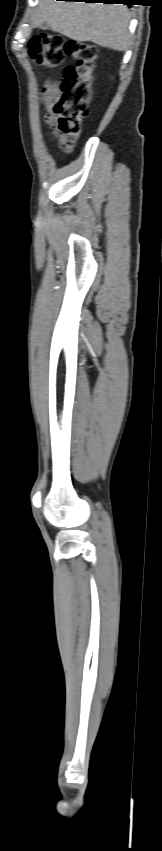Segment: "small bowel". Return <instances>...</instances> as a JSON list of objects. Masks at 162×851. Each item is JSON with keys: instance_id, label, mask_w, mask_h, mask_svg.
<instances>
[{"instance_id": "1", "label": "small bowel", "mask_w": 162, "mask_h": 851, "mask_svg": "<svg viewBox=\"0 0 162 851\" xmlns=\"http://www.w3.org/2000/svg\"><path fill=\"white\" fill-rule=\"evenodd\" d=\"M61 95V90L57 82L47 81L41 90V100L45 107L44 120L51 127V135L58 139L59 147L64 152H70L75 143L62 134L56 125V116L53 112V107Z\"/></svg>"}]
</instances>
